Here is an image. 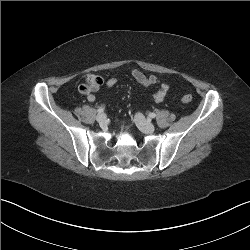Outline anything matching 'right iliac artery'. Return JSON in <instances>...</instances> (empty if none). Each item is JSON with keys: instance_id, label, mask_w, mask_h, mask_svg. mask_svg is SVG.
<instances>
[{"instance_id": "obj_1", "label": "right iliac artery", "mask_w": 250, "mask_h": 250, "mask_svg": "<svg viewBox=\"0 0 250 250\" xmlns=\"http://www.w3.org/2000/svg\"><path fill=\"white\" fill-rule=\"evenodd\" d=\"M104 110H105L104 107H100V108L97 110V112H98V113H102V112H104Z\"/></svg>"}]
</instances>
